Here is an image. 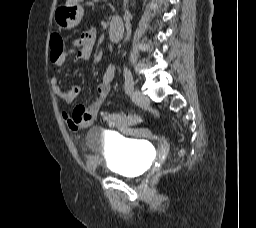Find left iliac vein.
Here are the masks:
<instances>
[{
  "label": "left iliac vein",
  "mask_w": 256,
  "mask_h": 228,
  "mask_svg": "<svg viewBox=\"0 0 256 228\" xmlns=\"http://www.w3.org/2000/svg\"><path fill=\"white\" fill-rule=\"evenodd\" d=\"M131 98L134 103H136L139 106H146L149 103V99L147 96H145L140 90H133L131 92Z\"/></svg>",
  "instance_id": "4c4485c4"
}]
</instances>
